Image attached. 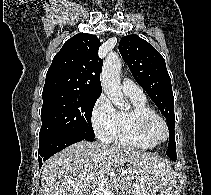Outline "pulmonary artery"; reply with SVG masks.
<instances>
[{"label": "pulmonary artery", "mask_w": 211, "mask_h": 195, "mask_svg": "<svg viewBox=\"0 0 211 195\" xmlns=\"http://www.w3.org/2000/svg\"><path fill=\"white\" fill-rule=\"evenodd\" d=\"M122 90L126 95L143 96V90L131 79L125 78L122 81Z\"/></svg>", "instance_id": "e3ab8cb5"}]
</instances>
